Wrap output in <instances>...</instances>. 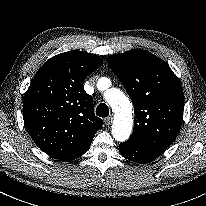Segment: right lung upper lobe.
Returning <instances> with one entry per match:
<instances>
[{"mask_svg": "<svg viewBox=\"0 0 206 206\" xmlns=\"http://www.w3.org/2000/svg\"><path fill=\"white\" fill-rule=\"evenodd\" d=\"M102 64L97 55L73 50L50 58L34 76L24 96L23 116L29 135L46 154L60 160L76 155L102 127L83 87Z\"/></svg>", "mask_w": 206, "mask_h": 206, "instance_id": "1", "label": "right lung upper lobe"}]
</instances>
